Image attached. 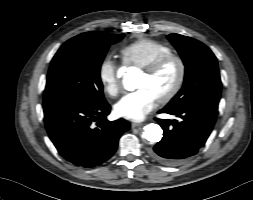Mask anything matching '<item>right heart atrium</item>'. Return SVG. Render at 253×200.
Returning <instances> with one entry per match:
<instances>
[{
    "mask_svg": "<svg viewBox=\"0 0 253 200\" xmlns=\"http://www.w3.org/2000/svg\"><path fill=\"white\" fill-rule=\"evenodd\" d=\"M99 80L104 90L110 96H116L122 88L121 72L119 65L111 58L102 60L98 70Z\"/></svg>",
    "mask_w": 253,
    "mask_h": 200,
    "instance_id": "1",
    "label": "right heart atrium"
}]
</instances>
